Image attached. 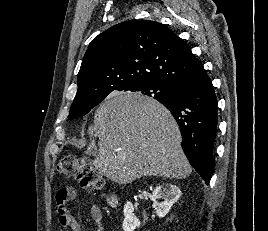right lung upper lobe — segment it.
<instances>
[{"label": "right lung upper lobe", "mask_w": 268, "mask_h": 231, "mask_svg": "<svg viewBox=\"0 0 268 231\" xmlns=\"http://www.w3.org/2000/svg\"><path fill=\"white\" fill-rule=\"evenodd\" d=\"M203 71L191 49L163 24L125 21L89 44L78 73L73 104L89 105L104 100L115 90L147 83L171 88Z\"/></svg>", "instance_id": "obj_1"}]
</instances>
